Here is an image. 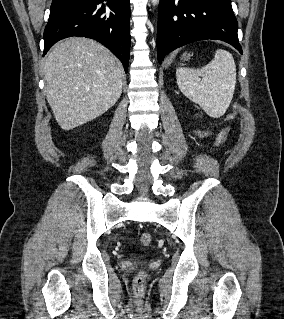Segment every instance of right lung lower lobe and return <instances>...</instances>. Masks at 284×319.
Segmentation results:
<instances>
[{
    "mask_svg": "<svg viewBox=\"0 0 284 319\" xmlns=\"http://www.w3.org/2000/svg\"><path fill=\"white\" fill-rule=\"evenodd\" d=\"M92 38L106 46L128 70L130 0H53L44 31L43 56L57 41Z\"/></svg>",
    "mask_w": 284,
    "mask_h": 319,
    "instance_id": "98d812e1",
    "label": "right lung lower lobe"
}]
</instances>
